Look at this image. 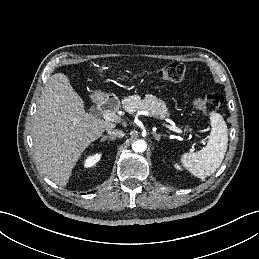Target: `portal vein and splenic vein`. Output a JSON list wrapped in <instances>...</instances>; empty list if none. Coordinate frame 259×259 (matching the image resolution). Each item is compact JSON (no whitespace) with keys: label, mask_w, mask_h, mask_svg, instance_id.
Instances as JSON below:
<instances>
[{"label":"portal vein and splenic vein","mask_w":259,"mask_h":259,"mask_svg":"<svg viewBox=\"0 0 259 259\" xmlns=\"http://www.w3.org/2000/svg\"><path fill=\"white\" fill-rule=\"evenodd\" d=\"M102 117L107 120V121H111V122H117L119 121L118 116L111 112V111H106L102 114ZM168 128L176 133L179 134H183V131L181 129H179L178 127H174V126H168Z\"/></svg>","instance_id":"portal-vein-and-splenic-vein-1"}]
</instances>
